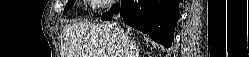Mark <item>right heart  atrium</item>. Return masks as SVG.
<instances>
[{
	"mask_svg": "<svg viewBox=\"0 0 249 57\" xmlns=\"http://www.w3.org/2000/svg\"><path fill=\"white\" fill-rule=\"evenodd\" d=\"M92 3H93L94 5H98V6H101V7H106L107 5H109L110 3H112V1L95 0V1H92Z\"/></svg>",
	"mask_w": 249,
	"mask_h": 57,
	"instance_id": "right-heart-atrium-1",
	"label": "right heart atrium"
}]
</instances>
